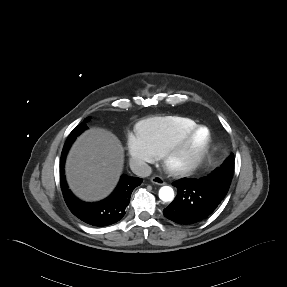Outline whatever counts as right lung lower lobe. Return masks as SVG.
Instances as JSON below:
<instances>
[{"label": "right lung lower lobe", "instance_id": "1", "mask_svg": "<svg viewBox=\"0 0 287 287\" xmlns=\"http://www.w3.org/2000/svg\"><path fill=\"white\" fill-rule=\"evenodd\" d=\"M86 124L77 127L75 132H71L61 153L60 160V184L64 200L69 210L81 221L95 227H104L118 222L126 212L130 202L132 191L142 183V178L121 176L120 181L113 193L106 199L87 203L78 199L68 188L65 175L64 164L70 146L76 137L86 130Z\"/></svg>", "mask_w": 287, "mask_h": 287}]
</instances>
